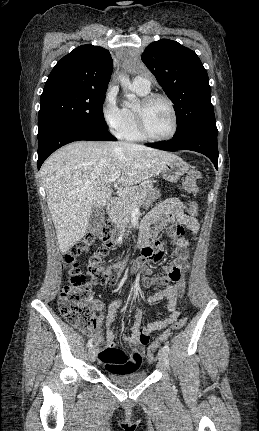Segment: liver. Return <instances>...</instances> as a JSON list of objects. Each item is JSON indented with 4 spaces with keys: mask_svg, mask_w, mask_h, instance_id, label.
<instances>
[{
    "mask_svg": "<svg viewBox=\"0 0 259 431\" xmlns=\"http://www.w3.org/2000/svg\"><path fill=\"white\" fill-rule=\"evenodd\" d=\"M177 158L127 142L77 141L53 153L41 167V178L60 251L67 252L81 240L93 208L104 207L110 200L107 178L120 171L118 183L129 188Z\"/></svg>",
    "mask_w": 259,
    "mask_h": 431,
    "instance_id": "6515ba94",
    "label": "liver"
}]
</instances>
